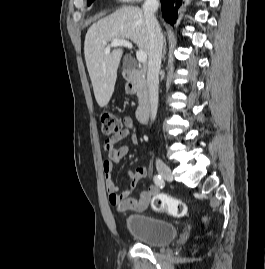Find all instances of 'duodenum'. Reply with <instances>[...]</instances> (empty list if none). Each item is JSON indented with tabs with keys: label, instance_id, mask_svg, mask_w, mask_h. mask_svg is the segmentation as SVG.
<instances>
[{
	"label": "duodenum",
	"instance_id": "410a0bca",
	"mask_svg": "<svg viewBox=\"0 0 265 269\" xmlns=\"http://www.w3.org/2000/svg\"><path fill=\"white\" fill-rule=\"evenodd\" d=\"M125 77L130 87L134 89L138 95L139 104L136 109V118L139 123H146L151 109L146 72L143 69L128 68L125 70Z\"/></svg>",
	"mask_w": 265,
	"mask_h": 269
}]
</instances>
